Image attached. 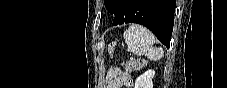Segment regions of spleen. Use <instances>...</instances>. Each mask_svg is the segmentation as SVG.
Returning a JSON list of instances; mask_svg holds the SVG:
<instances>
[{
    "mask_svg": "<svg viewBox=\"0 0 227 88\" xmlns=\"http://www.w3.org/2000/svg\"><path fill=\"white\" fill-rule=\"evenodd\" d=\"M128 49L137 56L147 55L150 60H160L164 51L161 47H154L155 37L145 27L131 24L123 33Z\"/></svg>",
    "mask_w": 227,
    "mask_h": 88,
    "instance_id": "spleen-1",
    "label": "spleen"
}]
</instances>
